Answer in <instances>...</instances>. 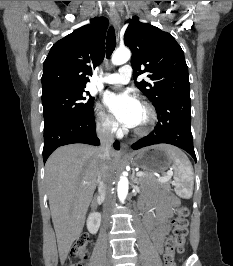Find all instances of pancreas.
I'll return each instance as SVG.
<instances>
[{"label":"pancreas","mask_w":233,"mask_h":266,"mask_svg":"<svg viewBox=\"0 0 233 266\" xmlns=\"http://www.w3.org/2000/svg\"><path fill=\"white\" fill-rule=\"evenodd\" d=\"M144 176L139 177V184L141 186H154V187H169L167 182H160L158 181L155 176L150 172H143Z\"/></svg>","instance_id":"cf45deb5"}]
</instances>
